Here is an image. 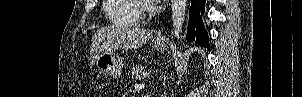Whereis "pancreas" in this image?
Listing matches in <instances>:
<instances>
[{
  "label": "pancreas",
  "mask_w": 302,
  "mask_h": 97,
  "mask_svg": "<svg viewBox=\"0 0 302 97\" xmlns=\"http://www.w3.org/2000/svg\"><path fill=\"white\" fill-rule=\"evenodd\" d=\"M146 73L143 66H136L132 69L131 79L133 81L145 79Z\"/></svg>",
  "instance_id": "1"
}]
</instances>
